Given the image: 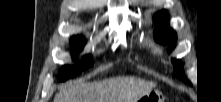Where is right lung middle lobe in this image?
Here are the masks:
<instances>
[{"instance_id":"1","label":"right lung middle lobe","mask_w":221,"mask_h":102,"mask_svg":"<svg viewBox=\"0 0 221 102\" xmlns=\"http://www.w3.org/2000/svg\"><path fill=\"white\" fill-rule=\"evenodd\" d=\"M86 41L82 36H75L72 38L73 51L72 56L76 57V54L80 52ZM93 65L90 56H85L81 61H79L75 66H63L59 71V80L65 81L66 79L73 78L77 76L82 71L88 69Z\"/></svg>"}]
</instances>
